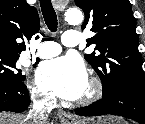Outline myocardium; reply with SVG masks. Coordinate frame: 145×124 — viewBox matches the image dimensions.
<instances>
[{
  "label": "myocardium",
  "instance_id": "1",
  "mask_svg": "<svg viewBox=\"0 0 145 124\" xmlns=\"http://www.w3.org/2000/svg\"><path fill=\"white\" fill-rule=\"evenodd\" d=\"M90 90L88 94L81 97L77 102L79 105H88L99 100L103 94V83L100 78L92 76L88 80Z\"/></svg>",
  "mask_w": 145,
  "mask_h": 124
}]
</instances>
